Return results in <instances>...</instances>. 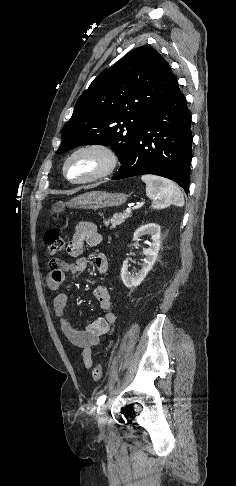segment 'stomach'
<instances>
[{"label": "stomach", "instance_id": "stomach-1", "mask_svg": "<svg viewBox=\"0 0 236 486\" xmlns=\"http://www.w3.org/2000/svg\"><path fill=\"white\" fill-rule=\"evenodd\" d=\"M127 195L123 193H108L105 191H90L83 193L71 201L57 202L51 207V214H59L65 206L78 209L98 210L106 207L119 206L126 202Z\"/></svg>", "mask_w": 236, "mask_h": 486}]
</instances>
